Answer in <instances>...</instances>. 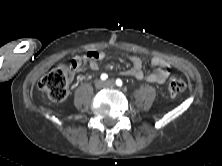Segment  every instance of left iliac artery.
Listing matches in <instances>:
<instances>
[{
  "mask_svg": "<svg viewBox=\"0 0 222 166\" xmlns=\"http://www.w3.org/2000/svg\"><path fill=\"white\" fill-rule=\"evenodd\" d=\"M122 84H123V83H122V80H121V79H117V80H116V85H117V86H122Z\"/></svg>",
  "mask_w": 222,
  "mask_h": 166,
  "instance_id": "left-iliac-artery-1",
  "label": "left iliac artery"
}]
</instances>
